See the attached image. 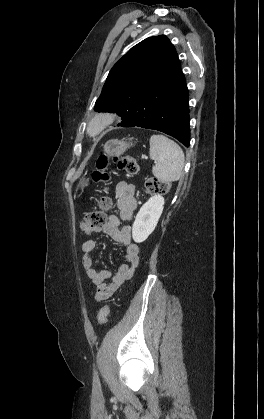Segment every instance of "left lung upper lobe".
<instances>
[{
  "mask_svg": "<svg viewBox=\"0 0 264 419\" xmlns=\"http://www.w3.org/2000/svg\"><path fill=\"white\" fill-rule=\"evenodd\" d=\"M179 67L175 47L165 35L143 40L110 70L95 111L125 114L146 92L174 77Z\"/></svg>",
  "mask_w": 264,
  "mask_h": 419,
  "instance_id": "1",
  "label": "left lung upper lobe"
}]
</instances>
